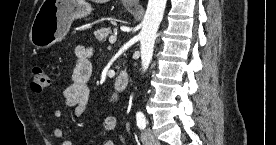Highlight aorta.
<instances>
[{
	"mask_svg": "<svg viewBox=\"0 0 276 145\" xmlns=\"http://www.w3.org/2000/svg\"><path fill=\"white\" fill-rule=\"evenodd\" d=\"M167 0H149L140 32L142 70L145 72L152 60L157 31L162 21Z\"/></svg>",
	"mask_w": 276,
	"mask_h": 145,
	"instance_id": "obj_1",
	"label": "aorta"
}]
</instances>
